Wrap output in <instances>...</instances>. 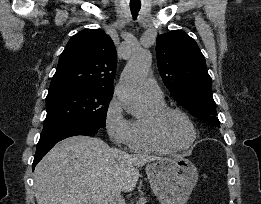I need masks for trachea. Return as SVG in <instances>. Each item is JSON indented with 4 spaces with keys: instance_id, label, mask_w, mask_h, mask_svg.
Returning <instances> with one entry per match:
<instances>
[{
    "instance_id": "1",
    "label": "trachea",
    "mask_w": 261,
    "mask_h": 204,
    "mask_svg": "<svg viewBox=\"0 0 261 204\" xmlns=\"http://www.w3.org/2000/svg\"><path fill=\"white\" fill-rule=\"evenodd\" d=\"M140 8H141V5H131L130 4V9H131V13H132V16H133V19H136L137 16H138V12L140 11Z\"/></svg>"
}]
</instances>
